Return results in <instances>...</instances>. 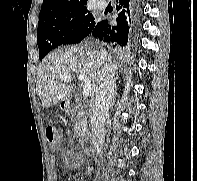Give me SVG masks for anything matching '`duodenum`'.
<instances>
[{
    "label": "duodenum",
    "mask_w": 197,
    "mask_h": 181,
    "mask_svg": "<svg viewBox=\"0 0 197 181\" xmlns=\"http://www.w3.org/2000/svg\"><path fill=\"white\" fill-rule=\"evenodd\" d=\"M65 108L68 112H76L81 110L82 106L79 102L75 100H68L66 102ZM87 154L90 156L93 154V149L91 147L87 148Z\"/></svg>",
    "instance_id": "duodenum-1"
}]
</instances>
